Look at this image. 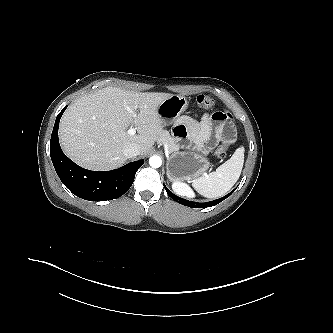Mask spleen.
I'll return each mask as SVG.
<instances>
[{
	"label": "spleen",
	"mask_w": 333,
	"mask_h": 333,
	"mask_svg": "<svg viewBox=\"0 0 333 333\" xmlns=\"http://www.w3.org/2000/svg\"><path fill=\"white\" fill-rule=\"evenodd\" d=\"M243 146L236 149L232 157L220 165L216 171L193 180V188L207 198L224 196L237 182L244 164Z\"/></svg>",
	"instance_id": "obj_1"
}]
</instances>
